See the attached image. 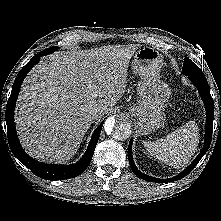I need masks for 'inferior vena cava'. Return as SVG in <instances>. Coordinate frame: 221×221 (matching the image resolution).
I'll return each instance as SVG.
<instances>
[{
	"label": "inferior vena cava",
	"mask_w": 221,
	"mask_h": 221,
	"mask_svg": "<svg viewBox=\"0 0 221 221\" xmlns=\"http://www.w3.org/2000/svg\"><path fill=\"white\" fill-rule=\"evenodd\" d=\"M100 118V113L99 112H94L91 116L92 121H97Z\"/></svg>",
	"instance_id": "602c4592"
}]
</instances>
